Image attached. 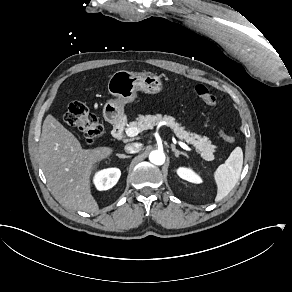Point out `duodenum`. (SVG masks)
Instances as JSON below:
<instances>
[{"mask_svg": "<svg viewBox=\"0 0 292 292\" xmlns=\"http://www.w3.org/2000/svg\"><path fill=\"white\" fill-rule=\"evenodd\" d=\"M125 133V123L118 122L116 125L113 126L112 135L115 140L121 141L124 138Z\"/></svg>", "mask_w": 292, "mask_h": 292, "instance_id": "1", "label": "duodenum"}]
</instances>
